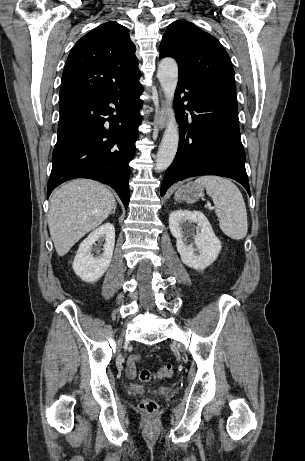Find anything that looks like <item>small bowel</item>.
I'll use <instances>...</instances> for the list:
<instances>
[{
    "label": "small bowel",
    "mask_w": 305,
    "mask_h": 461,
    "mask_svg": "<svg viewBox=\"0 0 305 461\" xmlns=\"http://www.w3.org/2000/svg\"><path fill=\"white\" fill-rule=\"evenodd\" d=\"M141 357L139 355L132 356L128 359L126 364V372L129 376L134 377L136 375V362H139Z\"/></svg>",
    "instance_id": "1"
}]
</instances>
